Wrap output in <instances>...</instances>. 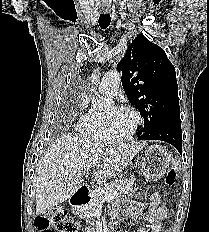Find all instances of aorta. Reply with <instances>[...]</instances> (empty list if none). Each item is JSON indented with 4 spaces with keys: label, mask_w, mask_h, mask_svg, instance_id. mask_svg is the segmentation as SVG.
I'll return each mask as SVG.
<instances>
[{
    "label": "aorta",
    "mask_w": 209,
    "mask_h": 232,
    "mask_svg": "<svg viewBox=\"0 0 209 232\" xmlns=\"http://www.w3.org/2000/svg\"><path fill=\"white\" fill-rule=\"evenodd\" d=\"M90 78L91 82H97L99 80V69H95ZM110 105L111 101L105 97H96L92 102L93 108L99 110L109 107Z\"/></svg>",
    "instance_id": "aorta-1"
}]
</instances>
